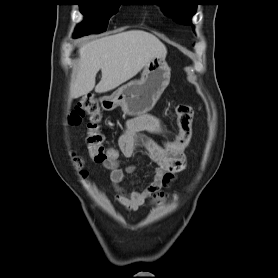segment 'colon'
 I'll use <instances>...</instances> for the list:
<instances>
[{
  "instance_id": "colon-1",
  "label": "colon",
  "mask_w": 278,
  "mask_h": 278,
  "mask_svg": "<svg viewBox=\"0 0 278 278\" xmlns=\"http://www.w3.org/2000/svg\"><path fill=\"white\" fill-rule=\"evenodd\" d=\"M176 115L178 133L176 136L170 137L162 143L176 154H185L192 139L193 109L187 104H180L176 107ZM84 119H88L87 145L92 159L97 163H101L106 160L118 158V148L105 147L103 145V136L99 131V123L101 120L100 107L96 98L91 95L79 99L69 115V121L72 124H80ZM76 164L82 167L83 162L80 159H76ZM163 198V193H155L153 195L154 201H159Z\"/></svg>"
}]
</instances>
